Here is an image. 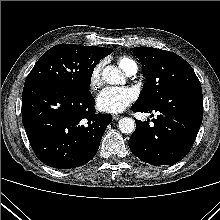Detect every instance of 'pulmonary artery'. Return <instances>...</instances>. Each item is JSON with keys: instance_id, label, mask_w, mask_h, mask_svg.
<instances>
[{"instance_id": "obj_1", "label": "pulmonary artery", "mask_w": 220, "mask_h": 220, "mask_svg": "<svg viewBox=\"0 0 220 220\" xmlns=\"http://www.w3.org/2000/svg\"><path fill=\"white\" fill-rule=\"evenodd\" d=\"M137 72V65L133 66L128 72V75H134Z\"/></svg>"}]
</instances>
